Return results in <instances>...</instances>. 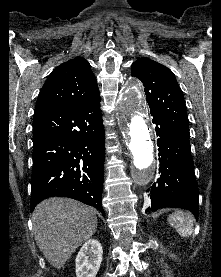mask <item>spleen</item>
<instances>
[{
    "mask_svg": "<svg viewBox=\"0 0 221 277\" xmlns=\"http://www.w3.org/2000/svg\"><path fill=\"white\" fill-rule=\"evenodd\" d=\"M168 222L182 237H188L193 232V217L187 212L177 211L171 214Z\"/></svg>",
    "mask_w": 221,
    "mask_h": 277,
    "instance_id": "3e777b00",
    "label": "spleen"
}]
</instances>
